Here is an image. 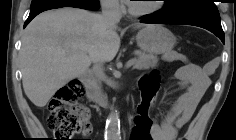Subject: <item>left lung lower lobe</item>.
Segmentation results:
<instances>
[{
	"mask_svg": "<svg viewBox=\"0 0 236 140\" xmlns=\"http://www.w3.org/2000/svg\"><path fill=\"white\" fill-rule=\"evenodd\" d=\"M141 22L151 24H185L198 26L214 33L223 43L225 42L224 32L220 20H213L200 17H165L157 13L152 17L145 18Z\"/></svg>",
	"mask_w": 236,
	"mask_h": 140,
	"instance_id": "1",
	"label": "left lung lower lobe"
}]
</instances>
